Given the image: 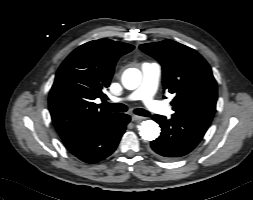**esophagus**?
<instances>
[{
	"instance_id": "34e87169",
	"label": "esophagus",
	"mask_w": 253,
	"mask_h": 200,
	"mask_svg": "<svg viewBox=\"0 0 253 200\" xmlns=\"http://www.w3.org/2000/svg\"><path fill=\"white\" fill-rule=\"evenodd\" d=\"M144 117L138 116V115H132V121L137 122L143 120Z\"/></svg>"
}]
</instances>
